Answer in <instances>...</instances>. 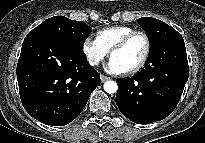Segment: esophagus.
Segmentation results:
<instances>
[{"label":"esophagus","mask_w":205,"mask_h":143,"mask_svg":"<svg viewBox=\"0 0 205 143\" xmlns=\"http://www.w3.org/2000/svg\"><path fill=\"white\" fill-rule=\"evenodd\" d=\"M100 78H101V81H102V82H105L106 80L109 79V77H108V76H105V75H101Z\"/></svg>","instance_id":"34e87169"}]
</instances>
